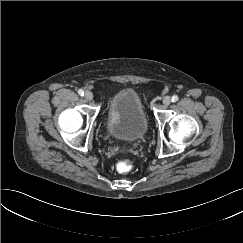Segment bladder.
Instances as JSON below:
<instances>
[{
    "label": "bladder",
    "mask_w": 243,
    "mask_h": 243,
    "mask_svg": "<svg viewBox=\"0 0 243 243\" xmlns=\"http://www.w3.org/2000/svg\"><path fill=\"white\" fill-rule=\"evenodd\" d=\"M106 127L110 135L123 141L145 136L149 121L139 95L132 89L118 91L107 107Z\"/></svg>",
    "instance_id": "31cf9c89"
}]
</instances>
